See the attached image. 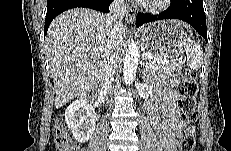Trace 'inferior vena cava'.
<instances>
[{"label": "inferior vena cava", "mask_w": 231, "mask_h": 151, "mask_svg": "<svg viewBox=\"0 0 231 151\" xmlns=\"http://www.w3.org/2000/svg\"><path fill=\"white\" fill-rule=\"evenodd\" d=\"M107 14V25L109 40L106 47V62L103 77V89L109 92L112 88L111 78L115 73L121 48L115 41L117 35L123 28L122 19L126 14L125 0H114Z\"/></svg>", "instance_id": "602c4592"}]
</instances>
